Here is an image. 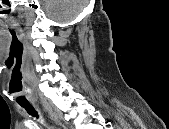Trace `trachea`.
Segmentation results:
<instances>
[{
	"instance_id": "1",
	"label": "trachea",
	"mask_w": 169,
	"mask_h": 129,
	"mask_svg": "<svg viewBox=\"0 0 169 129\" xmlns=\"http://www.w3.org/2000/svg\"><path fill=\"white\" fill-rule=\"evenodd\" d=\"M22 107L25 108L26 111L28 112V114H30L31 116L37 117V118L39 117L38 112L34 109L33 106H31V105H22Z\"/></svg>"
}]
</instances>
